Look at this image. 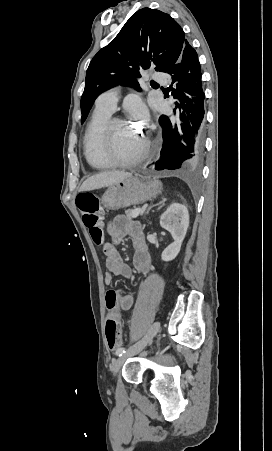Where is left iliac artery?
Segmentation results:
<instances>
[{
    "label": "left iliac artery",
    "instance_id": "44dca946",
    "mask_svg": "<svg viewBox=\"0 0 272 451\" xmlns=\"http://www.w3.org/2000/svg\"><path fill=\"white\" fill-rule=\"evenodd\" d=\"M125 352H126V349H125V348H119V349L116 351V355H118V356L120 357V356H122Z\"/></svg>",
    "mask_w": 272,
    "mask_h": 451
}]
</instances>
